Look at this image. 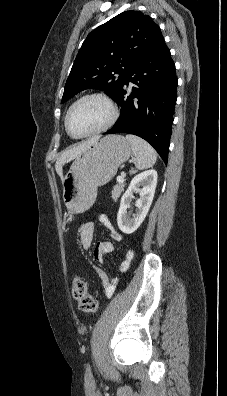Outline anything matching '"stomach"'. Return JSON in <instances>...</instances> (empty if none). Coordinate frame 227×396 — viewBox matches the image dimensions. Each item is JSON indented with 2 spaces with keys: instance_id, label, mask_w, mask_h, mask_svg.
Listing matches in <instances>:
<instances>
[{
  "instance_id": "obj_1",
  "label": "stomach",
  "mask_w": 227,
  "mask_h": 396,
  "mask_svg": "<svg viewBox=\"0 0 227 396\" xmlns=\"http://www.w3.org/2000/svg\"><path fill=\"white\" fill-rule=\"evenodd\" d=\"M131 150L123 136L109 135L76 157L62 182L63 199L71 213H82L95 203L98 187L112 180Z\"/></svg>"
}]
</instances>
